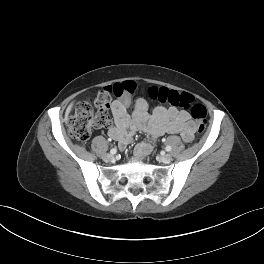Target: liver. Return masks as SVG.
Instances as JSON below:
<instances>
[{
	"instance_id": "liver-1",
	"label": "liver",
	"mask_w": 264,
	"mask_h": 264,
	"mask_svg": "<svg viewBox=\"0 0 264 264\" xmlns=\"http://www.w3.org/2000/svg\"><path fill=\"white\" fill-rule=\"evenodd\" d=\"M72 107H73V103H70V105L67 107L66 112H65V119L68 118V115L72 110Z\"/></svg>"
}]
</instances>
